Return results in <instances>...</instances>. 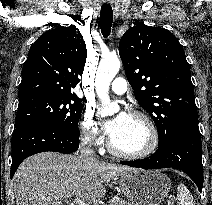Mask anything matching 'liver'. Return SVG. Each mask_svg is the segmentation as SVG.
I'll use <instances>...</instances> for the list:
<instances>
[{
  "label": "liver",
  "mask_w": 212,
  "mask_h": 205,
  "mask_svg": "<svg viewBox=\"0 0 212 205\" xmlns=\"http://www.w3.org/2000/svg\"><path fill=\"white\" fill-rule=\"evenodd\" d=\"M133 170L81 156L39 153L24 160L15 173L16 205H63L74 196L96 202L105 196L110 180Z\"/></svg>",
  "instance_id": "obj_1"
}]
</instances>
